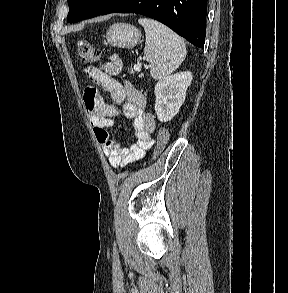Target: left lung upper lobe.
Returning a JSON list of instances; mask_svg holds the SVG:
<instances>
[{
  "label": "left lung upper lobe",
  "instance_id": "5c2ea615",
  "mask_svg": "<svg viewBox=\"0 0 288 293\" xmlns=\"http://www.w3.org/2000/svg\"><path fill=\"white\" fill-rule=\"evenodd\" d=\"M117 0H68L67 22L74 23L83 19L99 16Z\"/></svg>",
  "mask_w": 288,
  "mask_h": 293
}]
</instances>
